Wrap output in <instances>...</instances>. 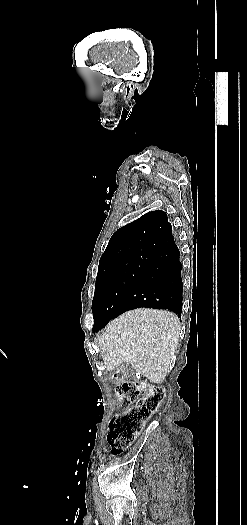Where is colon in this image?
Instances as JSON below:
<instances>
[{
  "instance_id": "1",
  "label": "colon",
  "mask_w": 247,
  "mask_h": 525,
  "mask_svg": "<svg viewBox=\"0 0 247 525\" xmlns=\"http://www.w3.org/2000/svg\"><path fill=\"white\" fill-rule=\"evenodd\" d=\"M115 398L130 406L123 414L113 418L107 435L110 452L120 456L139 433L142 425L159 409L165 398V390L153 383L125 380L115 389Z\"/></svg>"
}]
</instances>
